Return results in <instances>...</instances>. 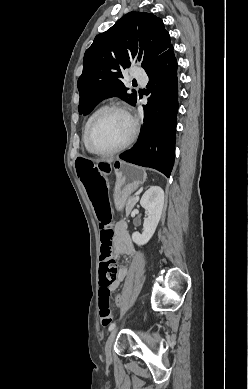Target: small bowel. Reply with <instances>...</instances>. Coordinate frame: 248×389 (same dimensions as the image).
<instances>
[{
	"instance_id": "1",
	"label": "small bowel",
	"mask_w": 248,
	"mask_h": 389,
	"mask_svg": "<svg viewBox=\"0 0 248 389\" xmlns=\"http://www.w3.org/2000/svg\"><path fill=\"white\" fill-rule=\"evenodd\" d=\"M112 245H113V253L116 256L119 255H127L129 257L135 256L136 250L133 246L131 237L128 232L127 224L125 222L121 221L117 224L116 236ZM127 273L128 271L124 267L118 269L116 281L111 287L113 290L118 288L120 283L126 278Z\"/></svg>"
}]
</instances>
